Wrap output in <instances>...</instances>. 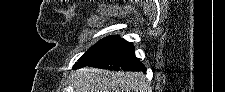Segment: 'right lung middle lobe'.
<instances>
[{
  "instance_id": "1",
  "label": "right lung middle lobe",
  "mask_w": 225,
  "mask_h": 92,
  "mask_svg": "<svg viewBox=\"0 0 225 92\" xmlns=\"http://www.w3.org/2000/svg\"><path fill=\"white\" fill-rule=\"evenodd\" d=\"M131 43L117 36H109L99 40L74 64L73 69L87 66L92 61L105 56L115 50L129 46Z\"/></svg>"
}]
</instances>
